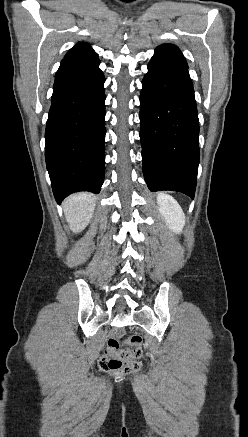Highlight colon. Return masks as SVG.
<instances>
[{"mask_svg":"<svg viewBox=\"0 0 248 437\" xmlns=\"http://www.w3.org/2000/svg\"><path fill=\"white\" fill-rule=\"evenodd\" d=\"M143 358L142 337L133 335L121 342L110 338L105 354L100 358V368L114 375H124L138 370Z\"/></svg>","mask_w":248,"mask_h":437,"instance_id":"obj_1","label":"colon"}]
</instances>
